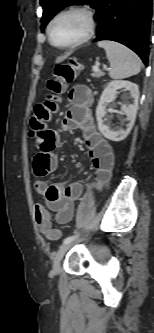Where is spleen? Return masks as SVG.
I'll return each instance as SVG.
<instances>
[{
  "mask_svg": "<svg viewBox=\"0 0 154 333\" xmlns=\"http://www.w3.org/2000/svg\"><path fill=\"white\" fill-rule=\"evenodd\" d=\"M97 45L106 51L111 65L109 76L112 79L128 78L141 71L140 58L124 45L107 40L99 41Z\"/></svg>",
  "mask_w": 154,
  "mask_h": 333,
  "instance_id": "1",
  "label": "spleen"
}]
</instances>
